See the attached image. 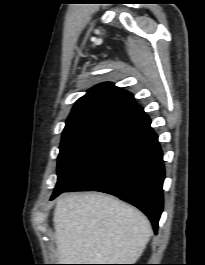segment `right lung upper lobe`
<instances>
[{"label": "right lung upper lobe", "mask_w": 205, "mask_h": 265, "mask_svg": "<svg viewBox=\"0 0 205 265\" xmlns=\"http://www.w3.org/2000/svg\"><path fill=\"white\" fill-rule=\"evenodd\" d=\"M144 114L130 92L109 82L102 83L77 100L66 121L63 134L101 124L127 127Z\"/></svg>", "instance_id": "cb5924a9"}]
</instances>
